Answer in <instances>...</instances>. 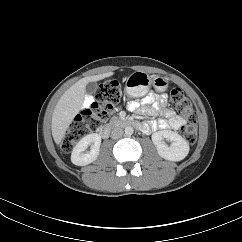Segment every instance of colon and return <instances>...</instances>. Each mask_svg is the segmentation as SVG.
Wrapping results in <instances>:
<instances>
[{
	"mask_svg": "<svg viewBox=\"0 0 242 242\" xmlns=\"http://www.w3.org/2000/svg\"><path fill=\"white\" fill-rule=\"evenodd\" d=\"M120 98L121 88L117 80L107 79L101 82L91 97L90 103L82 114L75 118L65 133L61 142L62 151L70 152L78 140L96 131L109 117ZM169 102L187 119L188 122L182 127L181 134L189 144H194L197 139V126L196 112L191 102L179 88L171 91Z\"/></svg>",
	"mask_w": 242,
	"mask_h": 242,
	"instance_id": "1",
	"label": "colon"
}]
</instances>
